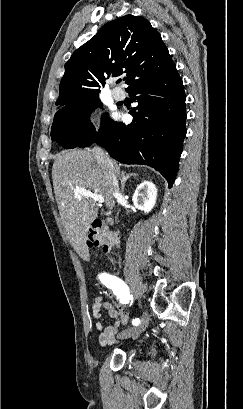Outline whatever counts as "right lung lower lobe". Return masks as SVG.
<instances>
[{
    "label": "right lung lower lobe",
    "instance_id": "right-lung-lower-lobe-1",
    "mask_svg": "<svg viewBox=\"0 0 243 409\" xmlns=\"http://www.w3.org/2000/svg\"><path fill=\"white\" fill-rule=\"evenodd\" d=\"M138 106L128 126L110 120L78 147L97 142L110 156L125 164H144L174 183L186 135V95L176 65L168 72L127 90Z\"/></svg>",
    "mask_w": 243,
    "mask_h": 409
}]
</instances>
